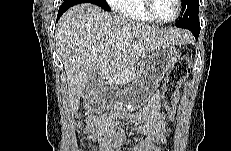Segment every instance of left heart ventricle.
<instances>
[{"label": "left heart ventricle", "mask_w": 231, "mask_h": 151, "mask_svg": "<svg viewBox=\"0 0 231 151\" xmlns=\"http://www.w3.org/2000/svg\"><path fill=\"white\" fill-rule=\"evenodd\" d=\"M154 13L163 20L172 18L176 13L175 0H153Z\"/></svg>", "instance_id": "b2bd125f"}]
</instances>
